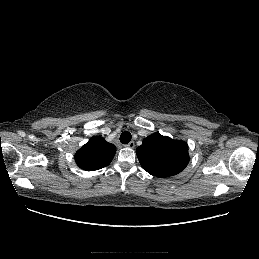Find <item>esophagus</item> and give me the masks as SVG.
I'll return each mask as SVG.
<instances>
[{"instance_id": "esophagus-1", "label": "esophagus", "mask_w": 259, "mask_h": 259, "mask_svg": "<svg viewBox=\"0 0 259 259\" xmlns=\"http://www.w3.org/2000/svg\"><path fill=\"white\" fill-rule=\"evenodd\" d=\"M126 147L133 149L135 147V143L131 141L126 145Z\"/></svg>"}]
</instances>
